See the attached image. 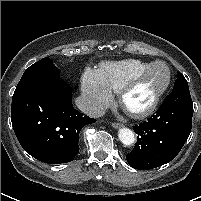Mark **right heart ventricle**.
Instances as JSON below:
<instances>
[{
  "label": "right heart ventricle",
  "mask_w": 201,
  "mask_h": 201,
  "mask_svg": "<svg viewBox=\"0 0 201 201\" xmlns=\"http://www.w3.org/2000/svg\"><path fill=\"white\" fill-rule=\"evenodd\" d=\"M150 64L151 63L137 59H126L117 62L104 63L97 71L107 87L111 91L118 93L130 78Z\"/></svg>",
  "instance_id": "obj_1"
}]
</instances>
